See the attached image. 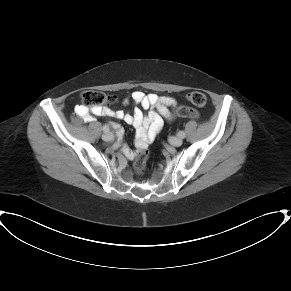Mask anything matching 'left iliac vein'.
<instances>
[{"instance_id": "1", "label": "left iliac vein", "mask_w": 291, "mask_h": 291, "mask_svg": "<svg viewBox=\"0 0 291 291\" xmlns=\"http://www.w3.org/2000/svg\"><path fill=\"white\" fill-rule=\"evenodd\" d=\"M170 144L173 146H180L182 144V139L180 137H170L169 138Z\"/></svg>"}]
</instances>
